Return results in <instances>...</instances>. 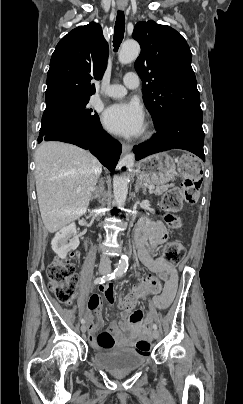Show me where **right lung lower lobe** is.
Returning a JSON list of instances; mask_svg holds the SVG:
<instances>
[{
    "instance_id": "98d812e1",
    "label": "right lung lower lobe",
    "mask_w": 243,
    "mask_h": 404,
    "mask_svg": "<svg viewBox=\"0 0 243 404\" xmlns=\"http://www.w3.org/2000/svg\"><path fill=\"white\" fill-rule=\"evenodd\" d=\"M62 141L89 150L98 160L114 172L122 146L102 129L101 124L64 121L42 137V141Z\"/></svg>"
}]
</instances>
